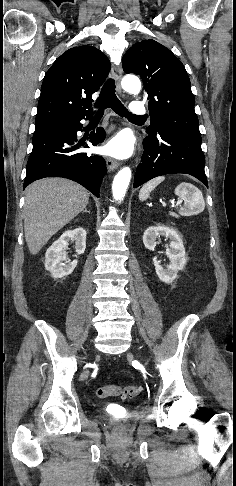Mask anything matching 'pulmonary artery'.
<instances>
[{
	"label": "pulmonary artery",
	"instance_id": "1",
	"mask_svg": "<svg viewBox=\"0 0 236 486\" xmlns=\"http://www.w3.org/2000/svg\"><path fill=\"white\" fill-rule=\"evenodd\" d=\"M130 110H131V113L133 115H136V116H142V115H145L147 113L145 106L141 102H138V101H134V102L131 103Z\"/></svg>",
	"mask_w": 236,
	"mask_h": 486
}]
</instances>
